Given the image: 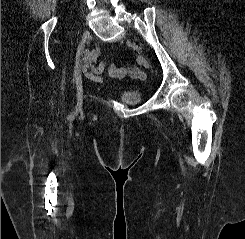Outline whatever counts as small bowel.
I'll return each mask as SVG.
<instances>
[{
    "instance_id": "obj_1",
    "label": "small bowel",
    "mask_w": 245,
    "mask_h": 239,
    "mask_svg": "<svg viewBox=\"0 0 245 239\" xmlns=\"http://www.w3.org/2000/svg\"><path fill=\"white\" fill-rule=\"evenodd\" d=\"M100 56V48L89 50L84 54L83 73L87 79L94 83L103 82V74L106 71L105 62L96 64L97 59Z\"/></svg>"
}]
</instances>
